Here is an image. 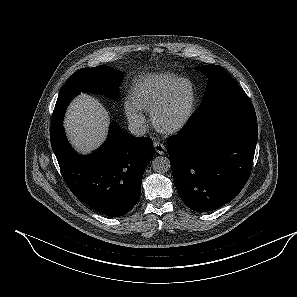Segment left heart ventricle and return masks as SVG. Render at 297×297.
<instances>
[{
    "mask_svg": "<svg viewBox=\"0 0 297 297\" xmlns=\"http://www.w3.org/2000/svg\"><path fill=\"white\" fill-rule=\"evenodd\" d=\"M187 94H188V88L185 84H182L178 89L172 103L162 114L160 119L162 124L172 123L180 116L187 102Z\"/></svg>",
    "mask_w": 297,
    "mask_h": 297,
    "instance_id": "obj_1",
    "label": "left heart ventricle"
}]
</instances>
